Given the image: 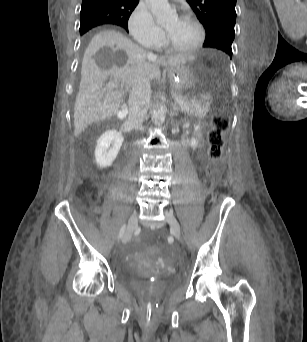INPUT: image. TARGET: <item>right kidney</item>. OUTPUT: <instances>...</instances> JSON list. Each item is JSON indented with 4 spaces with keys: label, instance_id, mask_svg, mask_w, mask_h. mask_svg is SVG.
Segmentation results:
<instances>
[{
    "label": "right kidney",
    "instance_id": "ca27d5eb",
    "mask_svg": "<svg viewBox=\"0 0 307 342\" xmlns=\"http://www.w3.org/2000/svg\"><path fill=\"white\" fill-rule=\"evenodd\" d=\"M124 138L117 130H107L97 140L95 160L98 168H109L117 158Z\"/></svg>",
    "mask_w": 307,
    "mask_h": 342
}]
</instances>
